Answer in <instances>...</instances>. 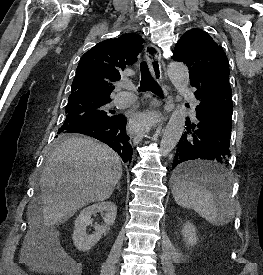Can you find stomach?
<instances>
[{"instance_id": "stomach-1", "label": "stomach", "mask_w": 263, "mask_h": 275, "mask_svg": "<svg viewBox=\"0 0 263 275\" xmlns=\"http://www.w3.org/2000/svg\"><path fill=\"white\" fill-rule=\"evenodd\" d=\"M192 165H196V162L195 163H191Z\"/></svg>"}]
</instances>
